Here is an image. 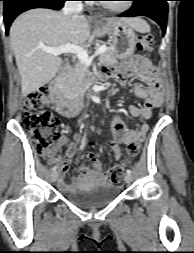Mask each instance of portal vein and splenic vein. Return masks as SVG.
<instances>
[{
  "mask_svg": "<svg viewBox=\"0 0 194 253\" xmlns=\"http://www.w3.org/2000/svg\"><path fill=\"white\" fill-rule=\"evenodd\" d=\"M41 49L43 51H45L46 53H50L54 56H58L63 53L75 54L78 57L79 61H81L86 66H90L94 57L104 53L106 51L107 47H106V45L100 46L95 51L94 55H92L91 57L88 56L87 51H85L82 47L77 46V45H73L71 43H66L65 45H62V46H59L56 48L41 47Z\"/></svg>",
  "mask_w": 194,
  "mask_h": 253,
  "instance_id": "18ae733b",
  "label": "portal vein and splenic vein"
}]
</instances>
